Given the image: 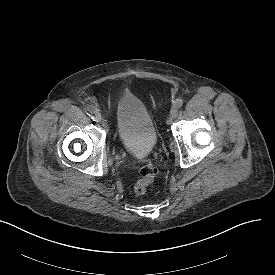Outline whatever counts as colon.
<instances>
[{"label":"colon","mask_w":275,"mask_h":275,"mask_svg":"<svg viewBox=\"0 0 275 275\" xmlns=\"http://www.w3.org/2000/svg\"><path fill=\"white\" fill-rule=\"evenodd\" d=\"M156 172V167L151 160L147 159L143 162L139 169V178L133 188L137 195H144L147 192L148 187L155 178Z\"/></svg>","instance_id":"obj_1"}]
</instances>
